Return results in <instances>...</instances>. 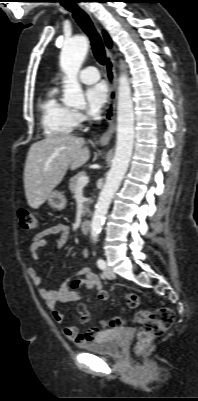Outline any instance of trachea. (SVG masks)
I'll use <instances>...</instances> for the list:
<instances>
[{
  "label": "trachea",
  "instance_id": "3493384b",
  "mask_svg": "<svg viewBox=\"0 0 198 401\" xmlns=\"http://www.w3.org/2000/svg\"><path fill=\"white\" fill-rule=\"evenodd\" d=\"M75 0H67L63 3V6L72 12L74 19L81 27V29L87 34L91 41V47L96 60L102 64H106V54L103 47L102 40L96 32L92 21L89 16L74 3Z\"/></svg>",
  "mask_w": 198,
  "mask_h": 401
}]
</instances>
